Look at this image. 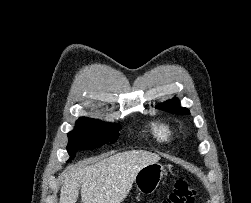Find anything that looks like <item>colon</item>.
Listing matches in <instances>:
<instances>
[{
	"instance_id": "colon-1",
	"label": "colon",
	"mask_w": 251,
	"mask_h": 203,
	"mask_svg": "<svg viewBox=\"0 0 251 203\" xmlns=\"http://www.w3.org/2000/svg\"><path fill=\"white\" fill-rule=\"evenodd\" d=\"M196 196V186L187 179H180L175 183L173 191L160 203H194Z\"/></svg>"
}]
</instances>
